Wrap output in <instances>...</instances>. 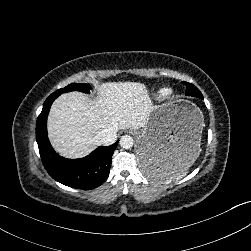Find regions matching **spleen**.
I'll use <instances>...</instances> for the list:
<instances>
[{"label":"spleen","instance_id":"spleen-1","mask_svg":"<svg viewBox=\"0 0 251 251\" xmlns=\"http://www.w3.org/2000/svg\"><path fill=\"white\" fill-rule=\"evenodd\" d=\"M190 165L191 164H185L177 173L172 174L165 171L163 167L154 163L149 166L148 177L153 179H161L163 182L179 181L181 178L189 174Z\"/></svg>","mask_w":251,"mask_h":251}]
</instances>
